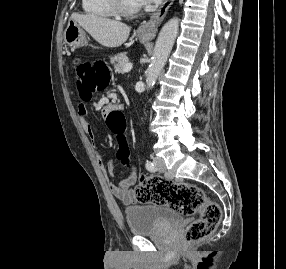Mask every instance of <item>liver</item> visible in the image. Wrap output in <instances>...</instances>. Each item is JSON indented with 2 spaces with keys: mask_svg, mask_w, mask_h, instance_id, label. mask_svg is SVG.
Here are the masks:
<instances>
[{
  "mask_svg": "<svg viewBox=\"0 0 286 269\" xmlns=\"http://www.w3.org/2000/svg\"><path fill=\"white\" fill-rule=\"evenodd\" d=\"M71 20L76 21L98 43L106 47H119L129 37L130 27L122 22L98 17L93 14L73 13Z\"/></svg>",
  "mask_w": 286,
  "mask_h": 269,
  "instance_id": "1",
  "label": "liver"
}]
</instances>
